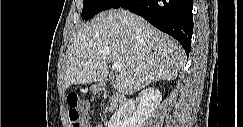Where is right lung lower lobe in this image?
<instances>
[{"instance_id":"1","label":"right lung lower lobe","mask_w":243,"mask_h":127,"mask_svg":"<svg viewBox=\"0 0 243 127\" xmlns=\"http://www.w3.org/2000/svg\"><path fill=\"white\" fill-rule=\"evenodd\" d=\"M142 16L159 30L177 39L187 57L193 33V0H119L112 8Z\"/></svg>"}]
</instances>
